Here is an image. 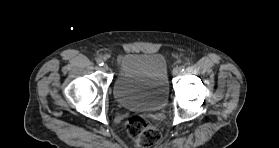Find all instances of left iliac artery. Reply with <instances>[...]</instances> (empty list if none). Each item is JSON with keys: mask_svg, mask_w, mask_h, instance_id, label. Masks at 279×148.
Returning a JSON list of instances; mask_svg holds the SVG:
<instances>
[{"mask_svg": "<svg viewBox=\"0 0 279 148\" xmlns=\"http://www.w3.org/2000/svg\"><path fill=\"white\" fill-rule=\"evenodd\" d=\"M181 71L185 70V66H180Z\"/></svg>", "mask_w": 279, "mask_h": 148, "instance_id": "44dca946", "label": "left iliac artery"}]
</instances>
